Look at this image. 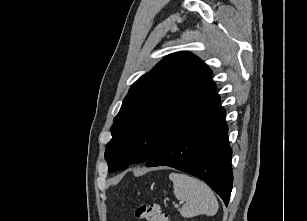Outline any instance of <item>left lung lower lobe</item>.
Instances as JSON below:
<instances>
[{"mask_svg":"<svg viewBox=\"0 0 307 221\" xmlns=\"http://www.w3.org/2000/svg\"><path fill=\"white\" fill-rule=\"evenodd\" d=\"M231 154L225 110L219 100L174 135L145 165H165L196 176L227 206L233 183Z\"/></svg>","mask_w":307,"mask_h":221,"instance_id":"left-lung-lower-lobe-1","label":"left lung lower lobe"}]
</instances>
